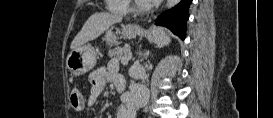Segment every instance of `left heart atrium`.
<instances>
[{
  "label": "left heart atrium",
  "mask_w": 273,
  "mask_h": 118,
  "mask_svg": "<svg viewBox=\"0 0 273 118\" xmlns=\"http://www.w3.org/2000/svg\"><path fill=\"white\" fill-rule=\"evenodd\" d=\"M161 0H142L143 3L147 4V5H154L158 2H160Z\"/></svg>",
  "instance_id": "obj_1"
}]
</instances>
